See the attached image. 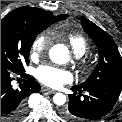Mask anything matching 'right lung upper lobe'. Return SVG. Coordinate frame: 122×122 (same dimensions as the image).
Segmentation results:
<instances>
[{
	"mask_svg": "<svg viewBox=\"0 0 122 122\" xmlns=\"http://www.w3.org/2000/svg\"><path fill=\"white\" fill-rule=\"evenodd\" d=\"M11 14H17L21 17L33 21V22H39V23H55L60 20L66 19L67 15H59V16H53L52 12L45 11L43 9L39 8H33V7H20L12 12Z\"/></svg>",
	"mask_w": 122,
	"mask_h": 122,
	"instance_id": "obj_1",
	"label": "right lung upper lobe"
}]
</instances>
